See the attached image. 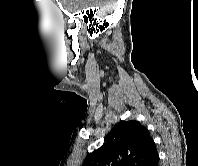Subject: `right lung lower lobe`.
Masks as SVG:
<instances>
[{"instance_id": "right-lung-lower-lobe-1", "label": "right lung lower lobe", "mask_w": 198, "mask_h": 166, "mask_svg": "<svg viewBox=\"0 0 198 166\" xmlns=\"http://www.w3.org/2000/svg\"><path fill=\"white\" fill-rule=\"evenodd\" d=\"M159 162V155L158 153L150 160V162L147 164V166H158Z\"/></svg>"}]
</instances>
